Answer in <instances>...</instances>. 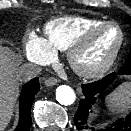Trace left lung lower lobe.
<instances>
[{"label": "left lung lower lobe", "instance_id": "left-lung-lower-lobe-1", "mask_svg": "<svg viewBox=\"0 0 131 131\" xmlns=\"http://www.w3.org/2000/svg\"><path fill=\"white\" fill-rule=\"evenodd\" d=\"M118 75H131V67H124L119 70ZM116 73H111L93 83L82 85L84 99L80 100L78 109L74 115V124L78 131H131V112L125 117L119 118L114 122L97 126L91 121V113L95 104V96L106 90V88L115 80Z\"/></svg>", "mask_w": 131, "mask_h": 131}]
</instances>
